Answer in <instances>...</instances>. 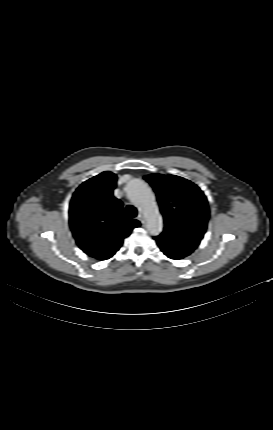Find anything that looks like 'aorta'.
Listing matches in <instances>:
<instances>
[{"label": "aorta", "instance_id": "762f6f07", "mask_svg": "<svg viewBox=\"0 0 273 430\" xmlns=\"http://www.w3.org/2000/svg\"><path fill=\"white\" fill-rule=\"evenodd\" d=\"M128 198L144 214L146 227L153 236L158 235L163 229V219L159 213L154 194L149 185L140 179H133L127 185Z\"/></svg>", "mask_w": 273, "mask_h": 430}]
</instances>
